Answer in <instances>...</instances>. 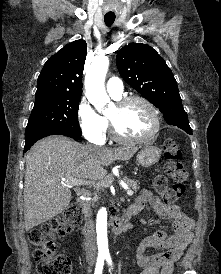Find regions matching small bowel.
Listing matches in <instances>:
<instances>
[{
    "instance_id": "1",
    "label": "small bowel",
    "mask_w": 221,
    "mask_h": 274,
    "mask_svg": "<svg viewBox=\"0 0 221 274\" xmlns=\"http://www.w3.org/2000/svg\"><path fill=\"white\" fill-rule=\"evenodd\" d=\"M146 203L151 205L160 219L172 221L174 234L169 236L166 228L162 227L141 242L136 254L137 264L142 267L140 274H172L174 263L193 238V221L179 206L162 202L149 189H143L134 201L132 207L135 213L140 212ZM148 249L160 252L147 254Z\"/></svg>"
}]
</instances>
